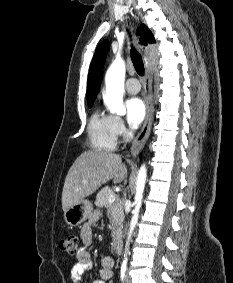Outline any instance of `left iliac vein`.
<instances>
[{
	"instance_id": "1",
	"label": "left iliac vein",
	"mask_w": 233,
	"mask_h": 283,
	"mask_svg": "<svg viewBox=\"0 0 233 283\" xmlns=\"http://www.w3.org/2000/svg\"><path fill=\"white\" fill-rule=\"evenodd\" d=\"M125 281L126 283H131V278L128 273L126 274Z\"/></svg>"
}]
</instances>
